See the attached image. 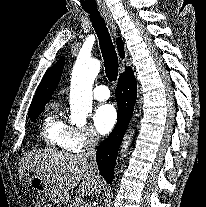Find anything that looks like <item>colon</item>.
I'll use <instances>...</instances> for the list:
<instances>
[{
	"mask_svg": "<svg viewBox=\"0 0 206 207\" xmlns=\"http://www.w3.org/2000/svg\"><path fill=\"white\" fill-rule=\"evenodd\" d=\"M35 207H47V204L43 200L39 199L37 200Z\"/></svg>",
	"mask_w": 206,
	"mask_h": 207,
	"instance_id": "colon-1",
	"label": "colon"
}]
</instances>
